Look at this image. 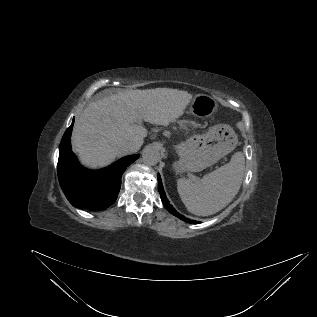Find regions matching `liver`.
Listing matches in <instances>:
<instances>
[{
    "label": "liver",
    "mask_w": 317,
    "mask_h": 317,
    "mask_svg": "<svg viewBox=\"0 0 317 317\" xmlns=\"http://www.w3.org/2000/svg\"><path fill=\"white\" fill-rule=\"evenodd\" d=\"M193 97L171 88L127 90L91 102L75 119L72 145L81 163L106 166L122 156L119 146H142L147 130L142 121L168 126L183 115ZM136 150V151H137Z\"/></svg>",
    "instance_id": "1"
}]
</instances>
